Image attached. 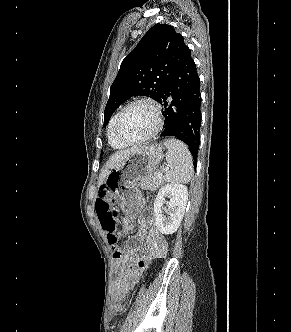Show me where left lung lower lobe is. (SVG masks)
Wrapping results in <instances>:
<instances>
[{"instance_id": "left-lung-lower-lobe-1", "label": "left lung lower lobe", "mask_w": 291, "mask_h": 332, "mask_svg": "<svg viewBox=\"0 0 291 332\" xmlns=\"http://www.w3.org/2000/svg\"><path fill=\"white\" fill-rule=\"evenodd\" d=\"M158 102L165 108L161 136H173L186 143L196 164L201 126L200 79L188 47Z\"/></svg>"}]
</instances>
